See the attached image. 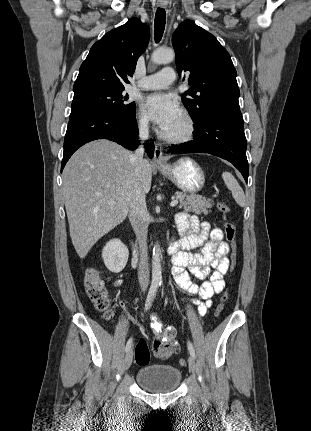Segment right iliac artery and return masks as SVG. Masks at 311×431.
<instances>
[{
	"label": "right iliac artery",
	"mask_w": 311,
	"mask_h": 431,
	"mask_svg": "<svg viewBox=\"0 0 311 431\" xmlns=\"http://www.w3.org/2000/svg\"><path fill=\"white\" fill-rule=\"evenodd\" d=\"M157 289H158V283H152L147 295V299L145 303V311H147L150 308L151 303L156 296ZM131 346H132V338H130L126 344V347H125L126 352L130 350Z\"/></svg>",
	"instance_id": "right-iliac-artery-1"
}]
</instances>
